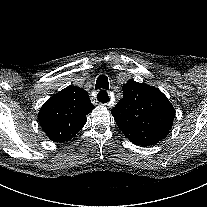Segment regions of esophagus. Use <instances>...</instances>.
<instances>
[{
    "mask_svg": "<svg viewBox=\"0 0 207 207\" xmlns=\"http://www.w3.org/2000/svg\"><path fill=\"white\" fill-rule=\"evenodd\" d=\"M94 99L96 102H98V99L100 101H107L109 99V91L107 89H100L99 91L95 92Z\"/></svg>",
    "mask_w": 207,
    "mask_h": 207,
    "instance_id": "obj_1",
    "label": "esophagus"
}]
</instances>
